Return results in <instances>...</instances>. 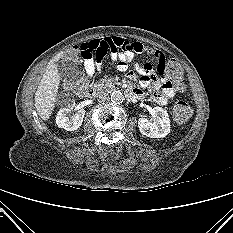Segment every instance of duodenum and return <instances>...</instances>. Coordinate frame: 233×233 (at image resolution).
<instances>
[{
	"label": "duodenum",
	"instance_id": "410a0bca",
	"mask_svg": "<svg viewBox=\"0 0 233 233\" xmlns=\"http://www.w3.org/2000/svg\"><path fill=\"white\" fill-rule=\"evenodd\" d=\"M124 92L126 96L129 97L130 99L136 98V94L133 90L126 89ZM99 93H100V90L97 87H92L84 92V96L89 99H94L99 95Z\"/></svg>",
	"mask_w": 233,
	"mask_h": 233
}]
</instances>
